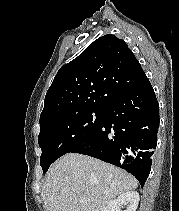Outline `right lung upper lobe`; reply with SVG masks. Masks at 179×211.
Wrapping results in <instances>:
<instances>
[{
    "instance_id": "cb5924a9",
    "label": "right lung upper lobe",
    "mask_w": 179,
    "mask_h": 211,
    "mask_svg": "<svg viewBox=\"0 0 179 211\" xmlns=\"http://www.w3.org/2000/svg\"><path fill=\"white\" fill-rule=\"evenodd\" d=\"M144 76L124 40L104 35L59 69L45 96L40 127L69 114L106 108Z\"/></svg>"
}]
</instances>
